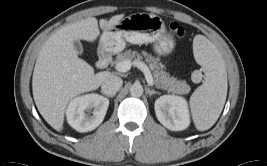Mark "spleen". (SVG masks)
<instances>
[{
    "label": "spleen",
    "mask_w": 267,
    "mask_h": 166,
    "mask_svg": "<svg viewBox=\"0 0 267 166\" xmlns=\"http://www.w3.org/2000/svg\"><path fill=\"white\" fill-rule=\"evenodd\" d=\"M193 53L205 74V81L191 95L190 108L196 128L205 131L216 123L223 110L227 97V73L219 51L206 37L195 36Z\"/></svg>",
    "instance_id": "3e777b00"
}]
</instances>
